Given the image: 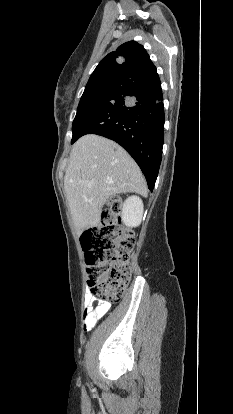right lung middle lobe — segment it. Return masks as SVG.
<instances>
[{
	"label": "right lung middle lobe",
	"mask_w": 233,
	"mask_h": 414,
	"mask_svg": "<svg viewBox=\"0 0 233 414\" xmlns=\"http://www.w3.org/2000/svg\"><path fill=\"white\" fill-rule=\"evenodd\" d=\"M133 81L118 76H105L88 81L73 121L72 144L77 140V130L89 112L103 103L126 92Z\"/></svg>",
	"instance_id": "dd1d6c3e"
}]
</instances>
